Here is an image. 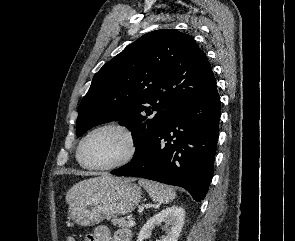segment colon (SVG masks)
<instances>
[{
	"instance_id": "colon-1",
	"label": "colon",
	"mask_w": 295,
	"mask_h": 241,
	"mask_svg": "<svg viewBox=\"0 0 295 241\" xmlns=\"http://www.w3.org/2000/svg\"><path fill=\"white\" fill-rule=\"evenodd\" d=\"M66 241H74L73 239H67Z\"/></svg>"
}]
</instances>
